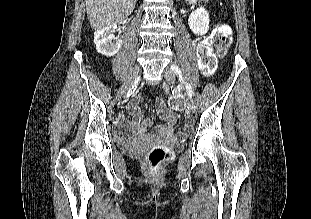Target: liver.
<instances>
[{
	"label": "liver",
	"mask_w": 311,
	"mask_h": 219,
	"mask_svg": "<svg viewBox=\"0 0 311 219\" xmlns=\"http://www.w3.org/2000/svg\"><path fill=\"white\" fill-rule=\"evenodd\" d=\"M137 0H86L87 17L94 30L101 29L127 18Z\"/></svg>",
	"instance_id": "liver-1"
}]
</instances>
